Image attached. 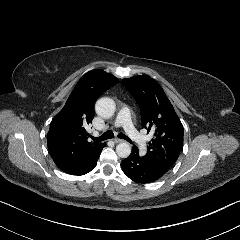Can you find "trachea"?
I'll return each mask as SVG.
<instances>
[{"mask_svg": "<svg viewBox=\"0 0 240 240\" xmlns=\"http://www.w3.org/2000/svg\"><path fill=\"white\" fill-rule=\"evenodd\" d=\"M113 137H114L113 132L107 131V132L103 133V135H101L100 137H92V139L94 140V142H100V141L112 139ZM118 137L120 139H124V140L128 141L129 143L133 144V141L129 137L124 135L123 133H119Z\"/></svg>", "mask_w": 240, "mask_h": 240, "instance_id": "trachea-1", "label": "trachea"}]
</instances>
